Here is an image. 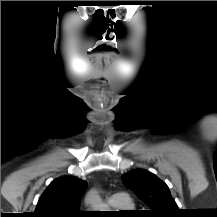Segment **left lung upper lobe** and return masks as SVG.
Instances as JSON below:
<instances>
[{
    "instance_id": "left-lung-upper-lobe-1",
    "label": "left lung upper lobe",
    "mask_w": 217,
    "mask_h": 217,
    "mask_svg": "<svg viewBox=\"0 0 217 217\" xmlns=\"http://www.w3.org/2000/svg\"><path fill=\"white\" fill-rule=\"evenodd\" d=\"M122 181L151 208V217H177L179 208L168 186L151 172L132 170L122 175Z\"/></svg>"
}]
</instances>
